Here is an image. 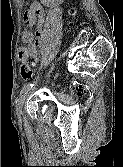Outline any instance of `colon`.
<instances>
[{
	"mask_svg": "<svg viewBox=\"0 0 123 167\" xmlns=\"http://www.w3.org/2000/svg\"><path fill=\"white\" fill-rule=\"evenodd\" d=\"M18 58L22 62L20 67V74L24 80H29L34 76V70L29 62V50L27 46L21 45L18 48ZM73 92L77 95H80L84 92V88L82 86H76L73 88Z\"/></svg>",
	"mask_w": 123,
	"mask_h": 167,
	"instance_id": "5ec220e1",
	"label": "colon"
}]
</instances>
